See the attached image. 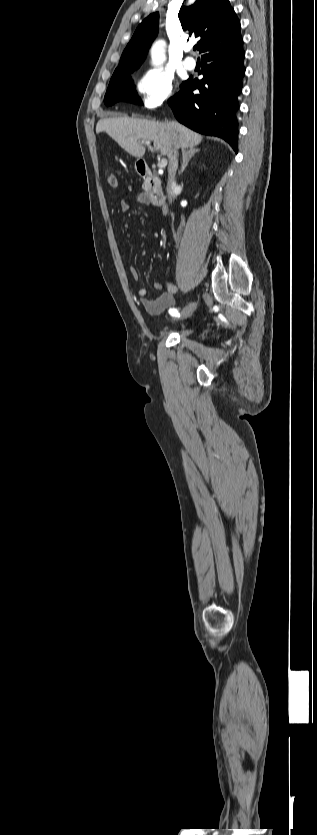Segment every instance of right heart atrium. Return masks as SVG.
I'll use <instances>...</instances> for the list:
<instances>
[{"label": "right heart atrium", "instance_id": "obj_1", "mask_svg": "<svg viewBox=\"0 0 317 835\" xmlns=\"http://www.w3.org/2000/svg\"><path fill=\"white\" fill-rule=\"evenodd\" d=\"M142 104L156 108L169 100L174 90V79L166 71L156 68L144 72L136 82Z\"/></svg>", "mask_w": 317, "mask_h": 835}]
</instances>
